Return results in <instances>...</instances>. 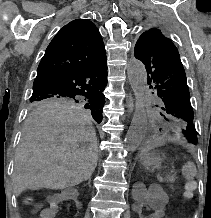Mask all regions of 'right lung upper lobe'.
Wrapping results in <instances>:
<instances>
[{
  "label": "right lung upper lobe",
  "instance_id": "obj_1",
  "mask_svg": "<svg viewBox=\"0 0 211 218\" xmlns=\"http://www.w3.org/2000/svg\"><path fill=\"white\" fill-rule=\"evenodd\" d=\"M105 58L104 43L96 26L87 19L73 20L56 34L47 47L33 88Z\"/></svg>",
  "mask_w": 211,
  "mask_h": 218
}]
</instances>
